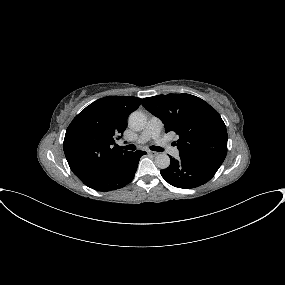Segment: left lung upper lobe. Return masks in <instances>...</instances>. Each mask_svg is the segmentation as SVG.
<instances>
[{
    "mask_svg": "<svg viewBox=\"0 0 285 285\" xmlns=\"http://www.w3.org/2000/svg\"><path fill=\"white\" fill-rule=\"evenodd\" d=\"M146 110L160 118L165 131L179 135V155L223 163L228 135L219 113L190 94H168L142 100Z\"/></svg>",
    "mask_w": 285,
    "mask_h": 285,
    "instance_id": "obj_1",
    "label": "left lung upper lobe"
}]
</instances>
